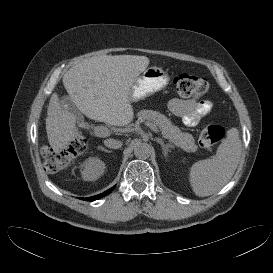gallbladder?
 Listing matches in <instances>:
<instances>
[{"instance_id": "bac80fb5", "label": "gallbladder", "mask_w": 273, "mask_h": 273, "mask_svg": "<svg viewBox=\"0 0 273 273\" xmlns=\"http://www.w3.org/2000/svg\"><path fill=\"white\" fill-rule=\"evenodd\" d=\"M61 102H63V108L69 110L74 115V117H76V121L82 125L84 116L79 112V109L75 106L71 99L64 96L62 97Z\"/></svg>"}]
</instances>
